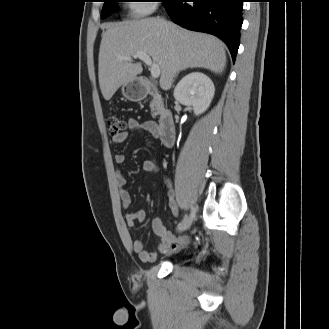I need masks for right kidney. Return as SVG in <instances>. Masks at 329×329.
<instances>
[{
    "instance_id": "ca27d5eb",
    "label": "right kidney",
    "mask_w": 329,
    "mask_h": 329,
    "mask_svg": "<svg viewBox=\"0 0 329 329\" xmlns=\"http://www.w3.org/2000/svg\"><path fill=\"white\" fill-rule=\"evenodd\" d=\"M214 92V84L208 76L201 72H192L177 84L174 97L181 104L192 106L197 116L207 110Z\"/></svg>"
}]
</instances>
